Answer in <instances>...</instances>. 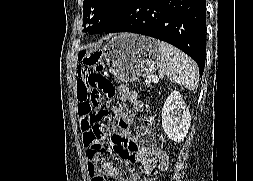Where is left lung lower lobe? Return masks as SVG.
<instances>
[{
	"label": "left lung lower lobe",
	"mask_w": 253,
	"mask_h": 181,
	"mask_svg": "<svg viewBox=\"0 0 253 181\" xmlns=\"http://www.w3.org/2000/svg\"><path fill=\"white\" fill-rule=\"evenodd\" d=\"M205 26V0H133L125 14L105 33L132 32L168 42L193 58L202 75Z\"/></svg>",
	"instance_id": "left-lung-lower-lobe-1"
}]
</instances>
